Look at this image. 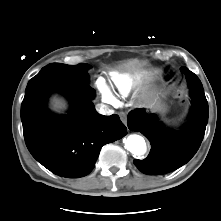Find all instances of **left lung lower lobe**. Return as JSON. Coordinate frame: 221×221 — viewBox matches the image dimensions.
<instances>
[{
  "label": "left lung lower lobe",
  "mask_w": 221,
  "mask_h": 221,
  "mask_svg": "<svg viewBox=\"0 0 221 221\" xmlns=\"http://www.w3.org/2000/svg\"><path fill=\"white\" fill-rule=\"evenodd\" d=\"M181 71L189 84L192 108L188 123L179 132L167 129L154 114L144 109L129 113L128 128L141 132L150 141L151 151L143 160H134L135 166L148 175H162L186 164L197 152L208 122V103L199 78L186 67Z\"/></svg>",
  "instance_id": "obj_1"
}]
</instances>
